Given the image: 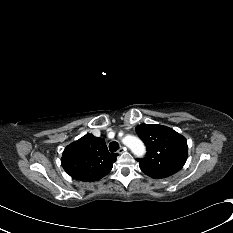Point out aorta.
<instances>
[{"label":"aorta","instance_id":"762f6f07","mask_svg":"<svg viewBox=\"0 0 233 233\" xmlns=\"http://www.w3.org/2000/svg\"><path fill=\"white\" fill-rule=\"evenodd\" d=\"M123 143L131 149L136 156H142L145 153V147L140 139L134 136H127Z\"/></svg>","mask_w":233,"mask_h":233}]
</instances>
